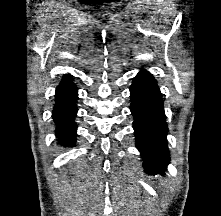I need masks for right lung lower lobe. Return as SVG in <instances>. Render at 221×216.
<instances>
[{"label": "right lung lower lobe", "mask_w": 221, "mask_h": 216, "mask_svg": "<svg viewBox=\"0 0 221 216\" xmlns=\"http://www.w3.org/2000/svg\"><path fill=\"white\" fill-rule=\"evenodd\" d=\"M78 91L72 82V75L66 74L56 88L55 106L52 117L56 124V136L64 145H74L76 143L77 125L74 121L77 107Z\"/></svg>", "instance_id": "1"}]
</instances>
